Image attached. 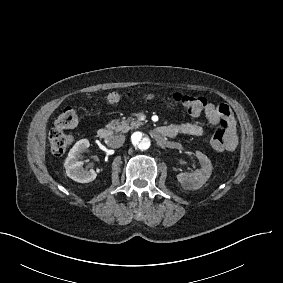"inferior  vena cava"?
Segmentation results:
<instances>
[{
  "mask_svg": "<svg viewBox=\"0 0 283 283\" xmlns=\"http://www.w3.org/2000/svg\"><path fill=\"white\" fill-rule=\"evenodd\" d=\"M124 141H125L124 135L110 136L107 139V145L112 148H119L123 145Z\"/></svg>",
  "mask_w": 283,
  "mask_h": 283,
  "instance_id": "inferior-vena-cava-1",
  "label": "inferior vena cava"
}]
</instances>
